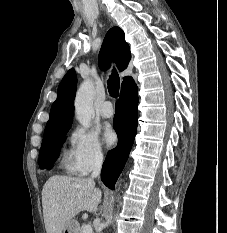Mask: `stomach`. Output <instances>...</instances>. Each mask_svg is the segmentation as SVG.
Returning <instances> with one entry per match:
<instances>
[{"mask_svg":"<svg viewBox=\"0 0 227 233\" xmlns=\"http://www.w3.org/2000/svg\"><path fill=\"white\" fill-rule=\"evenodd\" d=\"M78 232H79V224L74 219L71 220L62 231V233H78Z\"/></svg>","mask_w":227,"mask_h":233,"instance_id":"1","label":"stomach"}]
</instances>
